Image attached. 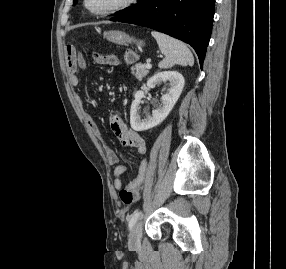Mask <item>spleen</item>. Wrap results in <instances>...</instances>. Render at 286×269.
I'll list each match as a JSON object with an SVG mask.
<instances>
[{"instance_id": "spleen-1", "label": "spleen", "mask_w": 286, "mask_h": 269, "mask_svg": "<svg viewBox=\"0 0 286 269\" xmlns=\"http://www.w3.org/2000/svg\"><path fill=\"white\" fill-rule=\"evenodd\" d=\"M151 34L156 39L160 51L165 55L158 64L159 68H171L175 64L182 66L194 64V57L183 42L157 31H152Z\"/></svg>"}]
</instances>
